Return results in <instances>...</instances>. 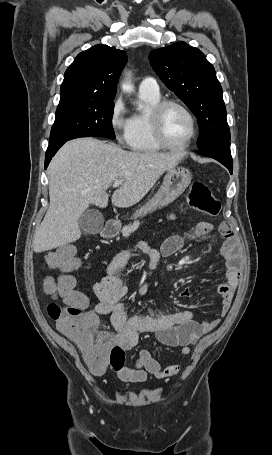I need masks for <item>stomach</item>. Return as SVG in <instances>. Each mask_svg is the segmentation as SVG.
Masks as SVG:
<instances>
[{
	"mask_svg": "<svg viewBox=\"0 0 272 455\" xmlns=\"http://www.w3.org/2000/svg\"><path fill=\"white\" fill-rule=\"evenodd\" d=\"M191 179V172L184 167L175 166L168 169L158 192L144 206L137 210L134 216H144L157 208L167 206L185 191L191 183Z\"/></svg>",
	"mask_w": 272,
	"mask_h": 455,
	"instance_id": "1",
	"label": "stomach"
}]
</instances>
